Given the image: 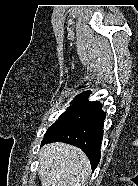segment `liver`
I'll list each match as a JSON object with an SVG mask.
<instances>
[{
  "label": "liver",
  "instance_id": "liver-1",
  "mask_svg": "<svg viewBox=\"0 0 138 186\" xmlns=\"http://www.w3.org/2000/svg\"><path fill=\"white\" fill-rule=\"evenodd\" d=\"M90 172L87 156L72 145L50 143L39 153L41 186H84Z\"/></svg>",
  "mask_w": 138,
  "mask_h": 186
}]
</instances>
